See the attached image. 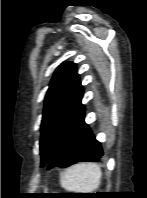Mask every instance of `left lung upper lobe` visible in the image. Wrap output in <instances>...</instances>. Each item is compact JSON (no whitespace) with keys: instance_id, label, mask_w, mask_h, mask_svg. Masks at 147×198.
Here are the masks:
<instances>
[{"instance_id":"left-lung-upper-lobe-1","label":"left lung upper lobe","mask_w":147,"mask_h":198,"mask_svg":"<svg viewBox=\"0 0 147 198\" xmlns=\"http://www.w3.org/2000/svg\"><path fill=\"white\" fill-rule=\"evenodd\" d=\"M83 87L76 64L62 63L55 71L45 96L41 123V166L49 161L53 150L67 130L84 111Z\"/></svg>"}]
</instances>
